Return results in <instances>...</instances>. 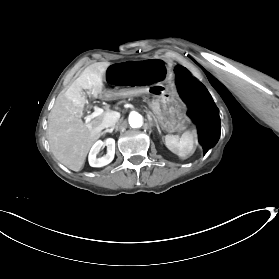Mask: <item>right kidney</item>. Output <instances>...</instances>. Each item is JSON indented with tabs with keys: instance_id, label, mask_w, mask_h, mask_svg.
<instances>
[{
	"instance_id": "1",
	"label": "right kidney",
	"mask_w": 279,
	"mask_h": 279,
	"mask_svg": "<svg viewBox=\"0 0 279 279\" xmlns=\"http://www.w3.org/2000/svg\"><path fill=\"white\" fill-rule=\"evenodd\" d=\"M107 147V154L101 158H97L98 152ZM115 155V140L113 138H106L103 142L98 141L92 147L89 153V164L92 167H102L112 162Z\"/></svg>"
}]
</instances>
